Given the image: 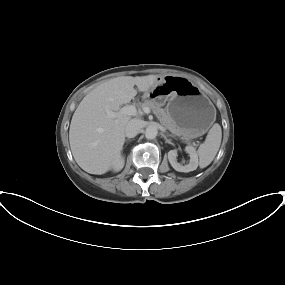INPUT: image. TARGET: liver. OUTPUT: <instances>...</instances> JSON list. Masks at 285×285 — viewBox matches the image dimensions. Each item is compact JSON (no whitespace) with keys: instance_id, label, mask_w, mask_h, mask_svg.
Wrapping results in <instances>:
<instances>
[{"instance_id":"6515ba94","label":"liver","mask_w":285,"mask_h":285,"mask_svg":"<svg viewBox=\"0 0 285 285\" xmlns=\"http://www.w3.org/2000/svg\"><path fill=\"white\" fill-rule=\"evenodd\" d=\"M158 75L121 76L109 79L92 91L75 110L69 129V142L77 164L90 174L109 171L121 155L125 128L131 117L110 118L107 110L119 112L139 92L148 91Z\"/></svg>"}]
</instances>
